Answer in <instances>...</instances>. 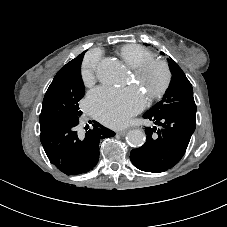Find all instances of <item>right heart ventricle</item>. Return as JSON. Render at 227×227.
Segmentation results:
<instances>
[{
    "instance_id": "e07e8e85",
    "label": "right heart ventricle",
    "mask_w": 227,
    "mask_h": 227,
    "mask_svg": "<svg viewBox=\"0 0 227 227\" xmlns=\"http://www.w3.org/2000/svg\"><path fill=\"white\" fill-rule=\"evenodd\" d=\"M117 53L131 69L154 59V54L149 49L137 44L123 45L117 50Z\"/></svg>"
}]
</instances>
